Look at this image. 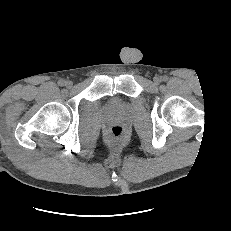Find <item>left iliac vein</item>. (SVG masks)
I'll return each mask as SVG.
<instances>
[{"instance_id":"4c4485c4","label":"left iliac vein","mask_w":231,"mask_h":231,"mask_svg":"<svg viewBox=\"0 0 231 231\" xmlns=\"http://www.w3.org/2000/svg\"><path fill=\"white\" fill-rule=\"evenodd\" d=\"M153 81H154L155 84H159L160 81H161V79H160L159 77H155V78L153 79Z\"/></svg>"}]
</instances>
